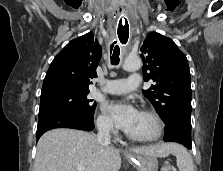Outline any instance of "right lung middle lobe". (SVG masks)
<instances>
[{"instance_id":"obj_1","label":"right lung middle lobe","mask_w":223,"mask_h":171,"mask_svg":"<svg viewBox=\"0 0 223 171\" xmlns=\"http://www.w3.org/2000/svg\"><path fill=\"white\" fill-rule=\"evenodd\" d=\"M89 91L53 94L40 100L39 118L57 111H73L93 119L96 104L88 97Z\"/></svg>"}]
</instances>
